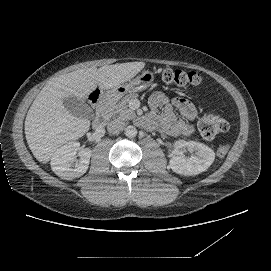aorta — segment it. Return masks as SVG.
I'll return each instance as SVG.
<instances>
[{"instance_id":"1","label":"aorta","mask_w":271,"mask_h":271,"mask_svg":"<svg viewBox=\"0 0 271 271\" xmlns=\"http://www.w3.org/2000/svg\"><path fill=\"white\" fill-rule=\"evenodd\" d=\"M124 134L128 138H134L137 135V129L135 126L128 125L124 130Z\"/></svg>"}]
</instances>
